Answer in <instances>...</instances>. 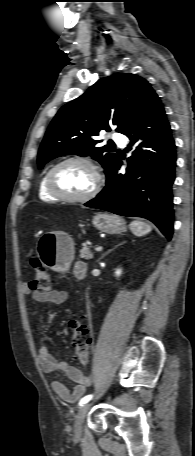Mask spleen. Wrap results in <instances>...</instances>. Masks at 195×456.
Instances as JSON below:
<instances>
[{"instance_id": "3e777b00", "label": "spleen", "mask_w": 195, "mask_h": 456, "mask_svg": "<svg viewBox=\"0 0 195 456\" xmlns=\"http://www.w3.org/2000/svg\"><path fill=\"white\" fill-rule=\"evenodd\" d=\"M129 227L131 232L138 237L144 236L152 230L151 225L140 220L132 221Z\"/></svg>"}]
</instances>
